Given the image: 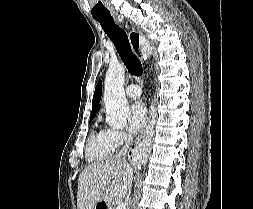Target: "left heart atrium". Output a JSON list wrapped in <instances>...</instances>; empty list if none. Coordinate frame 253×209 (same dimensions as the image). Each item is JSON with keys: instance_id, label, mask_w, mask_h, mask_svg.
<instances>
[{"instance_id": "1", "label": "left heart atrium", "mask_w": 253, "mask_h": 209, "mask_svg": "<svg viewBox=\"0 0 253 209\" xmlns=\"http://www.w3.org/2000/svg\"><path fill=\"white\" fill-rule=\"evenodd\" d=\"M147 119V108L141 101L132 104L129 112V129L131 132H138L145 124Z\"/></svg>"}]
</instances>
